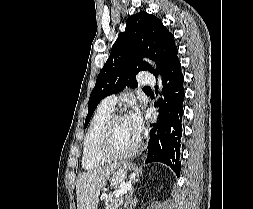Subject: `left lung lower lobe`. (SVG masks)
Returning <instances> with one entry per match:
<instances>
[{
    "mask_svg": "<svg viewBox=\"0 0 253 209\" xmlns=\"http://www.w3.org/2000/svg\"><path fill=\"white\" fill-rule=\"evenodd\" d=\"M184 77L179 60L163 76V96L156 106L159 121L150 131L149 149L146 163L162 162L180 175V142L182 137ZM152 126V125H151ZM157 131V135L154 132Z\"/></svg>",
    "mask_w": 253,
    "mask_h": 209,
    "instance_id": "obj_1",
    "label": "left lung lower lobe"
}]
</instances>
